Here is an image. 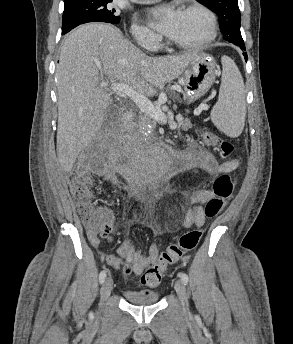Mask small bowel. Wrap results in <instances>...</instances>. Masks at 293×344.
I'll use <instances>...</instances> for the list:
<instances>
[{"label":"small bowel","mask_w":293,"mask_h":344,"mask_svg":"<svg viewBox=\"0 0 293 344\" xmlns=\"http://www.w3.org/2000/svg\"><path fill=\"white\" fill-rule=\"evenodd\" d=\"M182 128L188 130L190 128V122L184 121L182 123ZM185 153L188 156L189 163L181 168V170L186 172L203 171L210 178L217 177L225 172H232L240 164L239 160L220 163L210 151L194 143ZM213 196V191L205 188L194 191L189 196V206L182 219V224L185 228H189L193 225L202 226L204 224L206 215L203 204L207 203ZM146 226L151 230L154 237H157L162 231L169 227L166 223H158L157 225L146 224ZM90 242L93 247L99 248L100 239L98 237L91 236ZM158 255L159 247L155 242L149 246L148 253L143 255L134 248L133 243L129 239L122 241L119 246L118 255L100 252L101 258L113 268L118 269L123 266L125 274L133 273L135 275H141L149 264L157 260ZM184 260H186V258H184Z\"/></svg>","instance_id":"small-bowel-1"}]
</instances>
